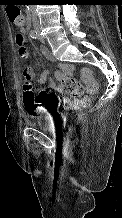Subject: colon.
Segmentation results:
<instances>
[{"label": "colon", "instance_id": "5ec220e1", "mask_svg": "<svg viewBox=\"0 0 122 218\" xmlns=\"http://www.w3.org/2000/svg\"><path fill=\"white\" fill-rule=\"evenodd\" d=\"M9 20L14 27L19 31L16 36V44L19 48V55L22 59L28 58V52L26 50V38L20 32L26 23L25 14L16 6H10L7 10ZM82 79L85 81L84 86L79 80L74 78H67L62 81V87L64 91L73 97L80 98L81 104L87 106L89 104V98L84 95L85 92L94 93L97 90L94 84L93 72L89 68H83L81 70ZM23 92H24V106L29 113H38V110L34 102V90L30 82V74L28 70L23 72Z\"/></svg>", "mask_w": 122, "mask_h": 218}]
</instances>
